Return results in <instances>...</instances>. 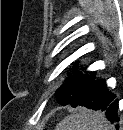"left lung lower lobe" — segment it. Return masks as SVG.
Wrapping results in <instances>:
<instances>
[{"label":"left lung lower lobe","mask_w":123,"mask_h":130,"mask_svg":"<svg viewBox=\"0 0 123 130\" xmlns=\"http://www.w3.org/2000/svg\"><path fill=\"white\" fill-rule=\"evenodd\" d=\"M78 105L93 110L104 111L106 117L112 123L119 121L117 116L118 100H116V96L108 91L104 80H95L94 73L89 76L82 95L74 107ZM116 127L119 126L116 125Z\"/></svg>","instance_id":"1"}]
</instances>
